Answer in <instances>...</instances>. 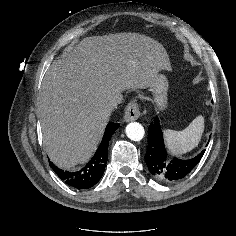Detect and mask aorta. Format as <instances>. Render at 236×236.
Returning <instances> with one entry per match:
<instances>
[{"instance_id": "762f6f07", "label": "aorta", "mask_w": 236, "mask_h": 236, "mask_svg": "<svg viewBox=\"0 0 236 236\" xmlns=\"http://www.w3.org/2000/svg\"><path fill=\"white\" fill-rule=\"evenodd\" d=\"M126 135L130 140L140 141L143 139L145 130L144 127L138 122H131L126 126Z\"/></svg>"}]
</instances>
